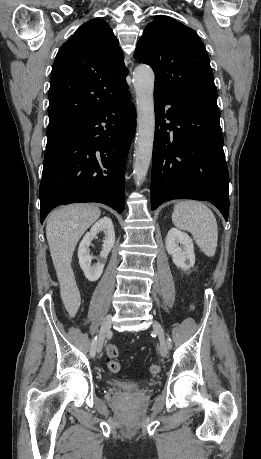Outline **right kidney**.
<instances>
[{
	"instance_id": "right-kidney-1",
	"label": "right kidney",
	"mask_w": 261,
	"mask_h": 459,
	"mask_svg": "<svg viewBox=\"0 0 261 459\" xmlns=\"http://www.w3.org/2000/svg\"><path fill=\"white\" fill-rule=\"evenodd\" d=\"M103 231L105 233L103 248L96 265H91L92 256L89 254L90 244L94 237ZM115 243V232L112 220L109 217H103L96 222L89 232L83 237L78 248V259L81 269L85 277L89 281H96L101 276L107 256L110 253Z\"/></svg>"
}]
</instances>
